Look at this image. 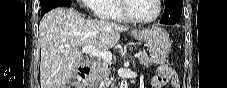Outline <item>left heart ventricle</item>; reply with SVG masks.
<instances>
[{
  "mask_svg": "<svg viewBox=\"0 0 227 88\" xmlns=\"http://www.w3.org/2000/svg\"><path fill=\"white\" fill-rule=\"evenodd\" d=\"M128 9L132 16L139 19L151 18L157 12L155 0H132L128 3Z\"/></svg>",
  "mask_w": 227,
  "mask_h": 88,
  "instance_id": "obj_1",
  "label": "left heart ventricle"
}]
</instances>
